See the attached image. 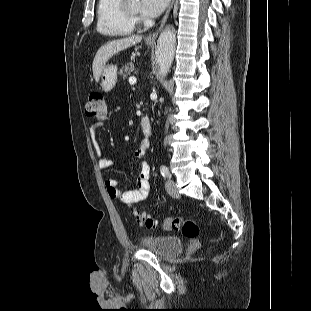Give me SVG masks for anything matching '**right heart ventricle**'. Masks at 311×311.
<instances>
[{
	"mask_svg": "<svg viewBox=\"0 0 311 311\" xmlns=\"http://www.w3.org/2000/svg\"><path fill=\"white\" fill-rule=\"evenodd\" d=\"M96 16L97 30L101 34L121 37L133 31V25L129 23L122 10V0H98Z\"/></svg>",
	"mask_w": 311,
	"mask_h": 311,
	"instance_id": "1",
	"label": "right heart ventricle"
}]
</instances>
